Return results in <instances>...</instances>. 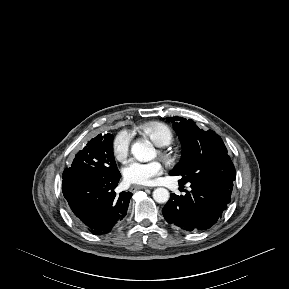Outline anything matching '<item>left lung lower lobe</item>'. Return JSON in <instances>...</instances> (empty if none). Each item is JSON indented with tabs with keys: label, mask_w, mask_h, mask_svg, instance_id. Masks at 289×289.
Returning a JSON list of instances; mask_svg holds the SVG:
<instances>
[{
	"label": "left lung lower lobe",
	"mask_w": 289,
	"mask_h": 289,
	"mask_svg": "<svg viewBox=\"0 0 289 289\" xmlns=\"http://www.w3.org/2000/svg\"><path fill=\"white\" fill-rule=\"evenodd\" d=\"M190 187L192 191L184 196L171 195L162 209L164 218L169 224L187 231L209 229L227 209L231 193L204 184Z\"/></svg>",
	"instance_id": "obj_1"
}]
</instances>
